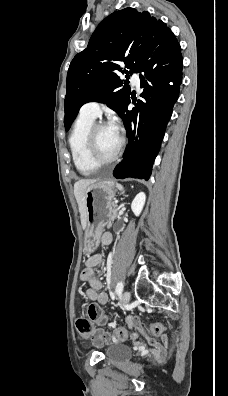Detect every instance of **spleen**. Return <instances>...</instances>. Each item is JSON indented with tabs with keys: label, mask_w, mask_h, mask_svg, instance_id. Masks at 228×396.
I'll return each instance as SVG.
<instances>
[{
	"label": "spleen",
	"mask_w": 228,
	"mask_h": 396,
	"mask_svg": "<svg viewBox=\"0 0 228 396\" xmlns=\"http://www.w3.org/2000/svg\"><path fill=\"white\" fill-rule=\"evenodd\" d=\"M117 187H118L120 190L123 189V186H122L121 184H117Z\"/></svg>",
	"instance_id": "1"
}]
</instances>
